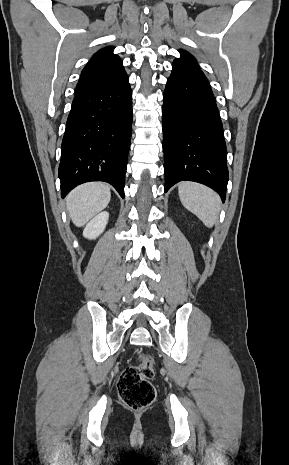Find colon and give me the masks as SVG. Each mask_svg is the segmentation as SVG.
I'll use <instances>...</instances> for the list:
<instances>
[{"label":"colon","mask_w":289,"mask_h":465,"mask_svg":"<svg viewBox=\"0 0 289 465\" xmlns=\"http://www.w3.org/2000/svg\"><path fill=\"white\" fill-rule=\"evenodd\" d=\"M154 373V360L148 354H141L136 365L128 366L122 372L118 392L126 406L140 410L154 401L156 392L151 383Z\"/></svg>","instance_id":"1"}]
</instances>
